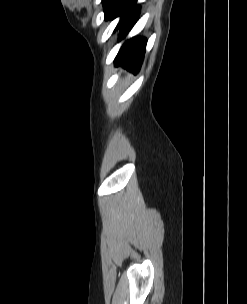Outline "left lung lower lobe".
<instances>
[{
    "instance_id": "obj_1",
    "label": "left lung lower lobe",
    "mask_w": 247,
    "mask_h": 304,
    "mask_svg": "<svg viewBox=\"0 0 247 304\" xmlns=\"http://www.w3.org/2000/svg\"><path fill=\"white\" fill-rule=\"evenodd\" d=\"M137 0H102L105 20L115 19L120 16L121 20L116 29L122 26L123 34L119 41L124 39L135 23L139 13ZM130 21V24H128ZM127 24V25H125ZM147 40L145 38H132L126 41L115 58V65H121L127 70L137 73L140 70L145 54Z\"/></svg>"
}]
</instances>
